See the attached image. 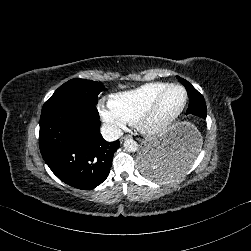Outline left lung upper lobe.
<instances>
[{
	"instance_id": "left-lung-upper-lobe-1",
	"label": "left lung upper lobe",
	"mask_w": 251,
	"mask_h": 251,
	"mask_svg": "<svg viewBox=\"0 0 251 251\" xmlns=\"http://www.w3.org/2000/svg\"><path fill=\"white\" fill-rule=\"evenodd\" d=\"M178 80L185 86L187 92L191 93L193 97L203 98V96L185 79L177 76Z\"/></svg>"
}]
</instances>
